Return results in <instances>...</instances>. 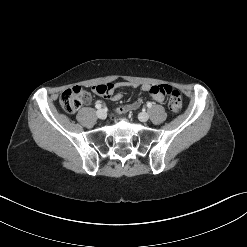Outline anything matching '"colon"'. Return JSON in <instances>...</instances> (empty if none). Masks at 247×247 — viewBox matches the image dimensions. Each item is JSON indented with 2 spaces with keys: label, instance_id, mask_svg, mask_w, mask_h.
Masks as SVG:
<instances>
[{
  "label": "colon",
  "instance_id": "1",
  "mask_svg": "<svg viewBox=\"0 0 247 247\" xmlns=\"http://www.w3.org/2000/svg\"><path fill=\"white\" fill-rule=\"evenodd\" d=\"M109 89V84H100L92 88V90L100 95L105 94ZM149 99L156 104L163 103L166 100V95L169 97L168 107L173 113H178L182 108L181 95L177 90H172L167 84H156L149 91ZM87 96L86 91L80 87L65 90L60 97V105L67 113L76 112ZM145 99L142 96L136 97L135 101H125L123 105H117V113L120 111L131 112L140 109L144 104Z\"/></svg>",
  "mask_w": 247,
  "mask_h": 247
}]
</instances>
